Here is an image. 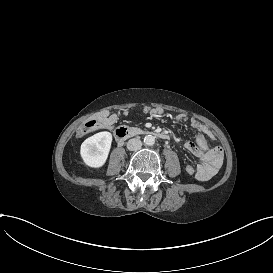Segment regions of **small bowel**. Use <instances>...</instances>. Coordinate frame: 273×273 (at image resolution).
Returning <instances> with one entry per match:
<instances>
[{
    "instance_id": "c3829d8e",
    "label": "small bowel",
    "mask_w": 273,
    "mask_h": 273,
    "mask_svg": "<svg viewBox=\"0 0 273 273\" xmlns=\"http://www.w3.org/2000/svg\"><path fill=\"white\" fill-rule=\"evenodd\" d=\"M182 115L177 116V120H182ZM118 116L115 113L104 111L95 117V122L90 127L83 126L81 134H87L96 130H110L116 124ZM191 126L197 133L195 142H186L184 147L200 160L197 167L196 177L201 181L208 180L221 167L223 162V149L221 147H209L208 138L213 139V133L204 124L192 120ZM188 174H193V166H187Z\"/></svg>"
}]
</instances>
